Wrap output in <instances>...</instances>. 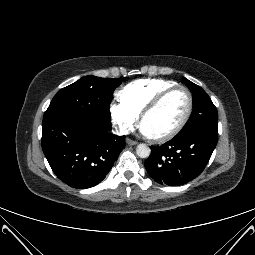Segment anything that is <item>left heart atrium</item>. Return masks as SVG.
<instances>
[{"label":"left heart atrium","instance_id":"obj_1","mask_svg":"<svg viewBox=\"0 0 255 255\" xmlns=\"http://www.w3.org/2000/svg\"><path fill=\"white\" fill-rule=\"evenodd\" d=\"M141 133L144 135V136H147V137H152V134L150 133V131L147 129V127L145 125H141Z\"/></svg>","mask_w":255,"mask_h":255}]
</instances>
